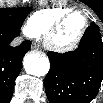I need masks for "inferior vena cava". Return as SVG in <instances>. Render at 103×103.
I'll return each mask as SVG.
<instances>
[{
  "label": "inferior vena cava",
  "mask_w": 103,
  "mask_h": 103,
  "mask_svg": "<svg viewBox=\"0 0 103 103\" xmlns=\"http://www.w3.org/2000/svg\"><path fill=\"white\" fill-rule=\"evenodd\" d=\"M21 42H22V38H17V39H15V40L11 43V45H12V46H17V45H19Z\"/></svg>",
  "instance_id": "1"
}]
</instances>
